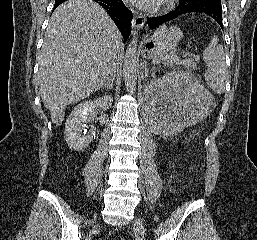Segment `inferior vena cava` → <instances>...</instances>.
I'll return each instance as SVG.
<instances>
[{"label":"inferior vena cava","instance_id":"1","mask_svg":"<svg viewBox=\"0 0 257 240\" xmlns=\"http://www.w3.org/2000/svg\"><path fill=\"white\" fill-rule=\"evenodd\" d=\"M119 59H120V54L116 50V52L114 54L112 65L110 67L108 76L106 78V83H110L112 80H114V77H115V74H116V70H117V67H118Z\"/></svg>","mask_w":257,"mask_h":240}]
</instances>
